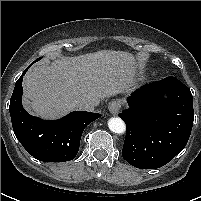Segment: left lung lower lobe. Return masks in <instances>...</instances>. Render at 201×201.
Returning a JSON list of instances; mask_svg holds the SVG:
<instances>
[{
    "mask_svg": "<svg viewBox=\"0 0 201 201\" xmlns=\"http://www.w3.org/2000/svg\"><path fill=\"white\" fill-rule=\"evenodd\" d=\"M127 101L129 108L119 114L126 124L123 158L140 169L164 166L190 137L194 121L191 91L170 76L142 86Z\"/></svg>",
    "mask_w": 201,
    "mask_h": 201,
    "instance_id": "obj_1",
    "label": "left lung lower lobe"
}]
</instances>
